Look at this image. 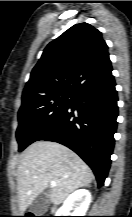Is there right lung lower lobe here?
<instances>
[{
	"label": "right lung lower lobe",
	"instance_id": "1",
	"mask_svg": "<svg viewBox=\"0 0 132 217\" xmlns=\"http://www.w3.org/2000/svg\"><path fill=\"white\" fill-rule=\"evenodd\" d=\"M115 80L75 94L71 105L39 140L63 144L76 152L93 170L98 186L104 184L114 147L118 116Z\"/></svg>",
	"mask_w": 132,
	"mask_h": 217
}]
</instances>
